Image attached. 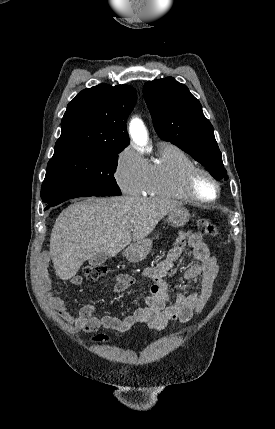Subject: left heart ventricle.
<instances>
[{
    "mask_svg": "<svg viewBox=\"0 0 275 429\" xmlns=\"http://www.w3.org/2000/svg\"><path fill=\"white\" fill-rule=\"evenodd\" d=\"M195 187L197 194L202 198L210 199L215 196V187L205 176H200L197 179Z\"/></svg>",
    "mask_w": 275,
    "mask_h": 429,
    "instance_id": "1",
    "label": "left heart ventricle"
}]
</instances>
